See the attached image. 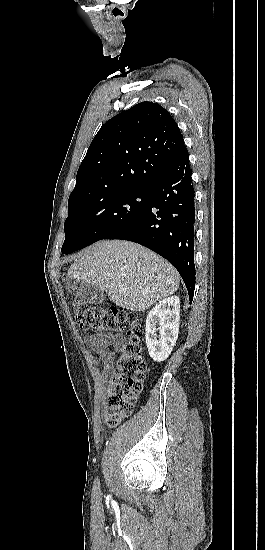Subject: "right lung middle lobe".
Masks as SVG:
<instances>
[{"instance_id":"dd1d6c3e","label":"right lung middle lobe","mask_w":265,"mask_h":550,"mask_svg":"<svg viewBox=\"0 0 265 550\" xmlns=\"http://www.w3.org/2000/svg\"><path fill=\"white\" fill-rule=\"evenodd\" d=\"M149 188L130 189L88 201L68 203L61 252L70 254L104 239L135 219L146 207Z\"/></svg>"}]
</instances>
